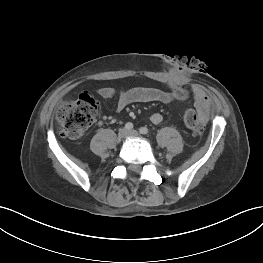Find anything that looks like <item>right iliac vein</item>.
I'll list each match as a JSON object with an SVG mask.
<instances>
[{"label": "right iliac vein", "mask_w": 263, "mask_h": 263, "mask_svg": "<svg viewBox=\"0 0 263 263\" xmlns=\"http://www.w3.org/2000/svg\"><path fill=\"white\" fill-rule=\"evenodd\" d=\"M127 135H128L127 129H126V128H122V129H120L119 132H118V139H119V140H122V139H124Z\"/></svg>", "instance_id": "right-iliac-vein-1"}]
</instances>
